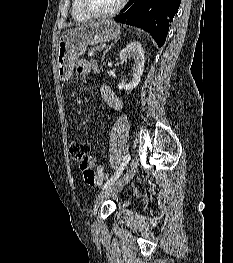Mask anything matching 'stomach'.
Masks as SVG:
<instances>
[{
  "label": "stomach",
  "instance_id": "0dacf381",
  "mask_svg": "<svg viewBox=\"0 0 233 263\" xmlns=\"http://www.w3.org/2000/svg\"><path fill=\"white\" fill-rule=\"evenodd\" d=\"M120 26L112 20H100L67 30L60 38L57 54V73L62 81L68 80L75 60L86 51L88 45H97L119 36Z\"/></svg>",
  "mask_w": 233,
  "mask_h": 263
}]
</instances>
